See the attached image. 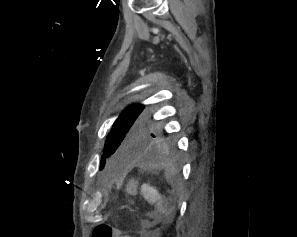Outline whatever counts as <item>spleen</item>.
I'll return each mask as SVG.
<instances>
[{
    "mask_svg": "<svg viewBox=\"0 0 297 237\" xmlns=\"http://www.w3.org/2000/svg\"><path fill=\"white\" fill-rule=\"evenodd\" d=\"M142 194L144 198L150 203H156L157 210L160 213L164 214L166 217H170L171 212L166 208V206L162 205L163 198L156 189L149 186L148 184H144L142 186Z\"/></svg>",
    "mask_w": 297,
    "mask_h": 237,
    "instance_id": "1",
    "label": "spleen"
}]
</instances>
